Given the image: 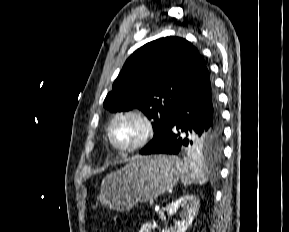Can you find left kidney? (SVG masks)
I'll return each instance as SVG.
<instances>
[{
  "mask_svg": "<svg viewBox=\"0 0 289 232\" xmlns=\"http://www.w3.org/2000/svg\"><path fill=\"white\" fill-rule=\"evenodd\" d=\"M198 200L193 195H184L168 204L166 211L168 214L176 213L180 208L181 219L175 222V226L171 227L165 232H185L187 228L192 224L194 217L198 210ZM153 226L151 223H145L139 232H151Z\"/></svg>",
  "mask_w": 289,
  "mask_h": 232,
  "instance_id": "5707ae66",
  "label": "left kidney"
}]
</instances>
